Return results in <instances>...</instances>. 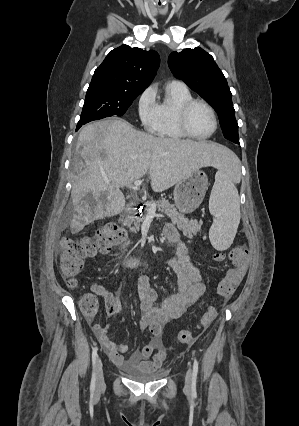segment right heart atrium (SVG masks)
Wrapping results in <instances>:
<instances>
[{
  "mask_svg": "<svg viewBox=\"0 0 299 426\" xmlns=\"http://www.w3.org/2000/svg\"><path fill=\"white\" fill-rule=\"evenodd\" d=\"M137 110L143 127L148 131H154L158 119V108L154 87L149 86L140 94Z\"/></svg>",
  "mask_w": 299,
  "mask_h": 426,
  "instance_id": "right-heart-atrium-1",
  "label": "right heart atrium"
}]
</instances>
